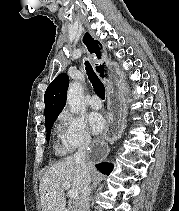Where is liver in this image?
Wrapping results in <instances>:
<instances>
[{
	"instance_id": "6515ba94",
	"label": "liver",
	"mask_w": 179,
	"mask_h": 211,
	"mask_svg": "<svg viewBox=\"0 0 179 211\" xmlns=\"http://www.w3.org/2000/svg\"><path fill=\"white\" fill-rule=\"evenodd\" d=\"M90 172L91 167L89 166ZM63 182L82 194L84 171L80 163L69 156L47 169L39 185L42 211H68Z\"/></svg>"
}]
</instances>
